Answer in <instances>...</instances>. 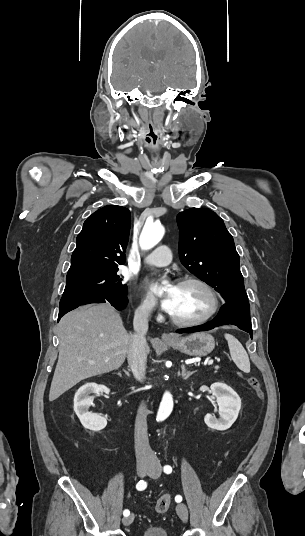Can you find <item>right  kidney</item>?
<instances>
[{"label":"right kidney","instance_id":"ca27d5eb","mask_svg":"<svg viewBox=\"0 0 305 536\" xmlns=\"http://www.w3.org/2000/svg\"><path fill=\"white\" fill-rule=\"evenodd\" d=\"M98 392H110V390L106 386H99V384L91 382V384L81 386L74 396V410L82 426L87 430H94V432L103 430L107 424L105 418L88 412V408L92 404V398H88V396L89 394H98Z\"/></svg>","mask_w":305,"mask_h":536}]
</instances>
